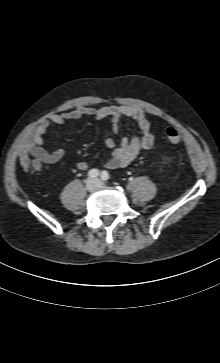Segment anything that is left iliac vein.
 Listing matches in <instances>:
<instances>
[{
  "label": "left iliac vein",
  "mask_w": 220,
  "mask_h": 363,
  "mask_svg": "<svg viewBox=\"0 0 220 363\" xmlns=\"http://www.w3.org/2000/svg\"><path fill=\"white\" fill-rule=\"evenodd\" d=\"M96 182H97V186H101L102 185V183L99 180H96Z\"/></svg>",
  "instance_id": "1"
}]
</instances>
